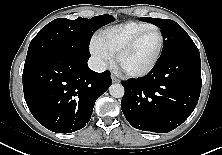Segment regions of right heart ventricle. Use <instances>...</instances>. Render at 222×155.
Here are the masks:
<instances>
[{
	"mask_svg": "<svg viewBox=\"0 0 222 155\" xmlns=\"http://www.w3.org/2000/svg\"><path fill=\"white\" fill-rule=\"evenodd\" d=\"M151 26L148 22L127 21L101 30L97 39L109 53L115 54L133 36Z\"/></svg>",
	"mask_w": 222,
	"mask_h": 155,
	"instance_id": "1",
	"label": "right heart ventricle"
}]
</instances>
